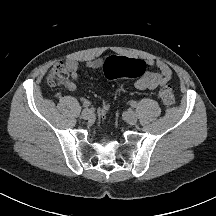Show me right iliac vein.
Masks as SVG:
<instances>
[{
    "label": "right iliac vein",
    "mask_w": 216,
    "mask_h": 216,
    "mask_svg": "<svg viewBox=\"0 0 216 216\" xmlns=\"http://www.w3.org/2000/svg\"><path fill=\"white\" fill-rule=\"evenodd\" d=\"M81 117L84 120H92L94 118V113L89 109H84L81 113Z\"/></svg>",
    "instance_id": "1"
}]
</instances>
